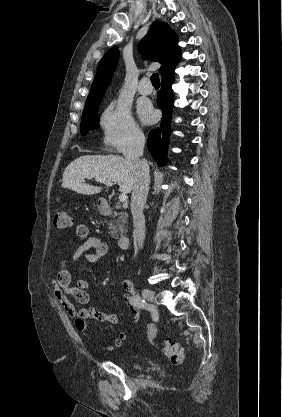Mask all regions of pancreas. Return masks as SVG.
I'll return each instance as SVG.
<instances>
[{"label":"pancreas","mask_w":282,"mask_h":417,"mask_svg":"<svg viewBox=\"0 0 282 417\" xmlns=\"http://www.w3.org/2000/svg\"><path fill=\"white\" fill-rule=\"evenodd\" d=\"M115 209H121L120 204H116ZM115 217H117V219H115ZM111 219H114V221H109V223L104 221V223H107L111 237H113V239H119V229L125 227L128 215L127 213H116V215H111Z\"/></svg>","instance_id":"pancreas-1"}]
</instances>
